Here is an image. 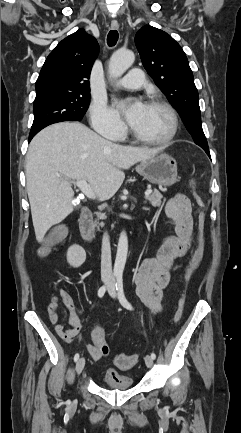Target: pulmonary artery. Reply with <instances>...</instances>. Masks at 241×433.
<instances>
[{"label": "pulmonary artery", "instance_id": "pulmonary-artery-1", "mask_svg": "<svg viewBox=\"0 0 241 433\" xmlns=\"http://www.w3.org/2000/svg\"><path fill=\"white\" fill-rule=\"evenodd\" d=\"M145 84L144 73L138 69L134 68L129 71L128 75L117 82V85L128 89V90H138L141 89Z\"/></svg>", "mask_w": 241, "mask_h": 433}]
</instances>
